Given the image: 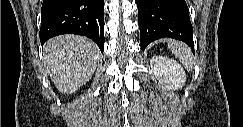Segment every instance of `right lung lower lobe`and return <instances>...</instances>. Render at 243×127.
<instances>
[{
    "label": "right lung lower lobe",
    "mask_w": 243,
    "mask_h": 127,
    "mask_svg": "<svg viewBox=\"0 0 243 127\" xmlns=\"http://www.w3.org/2000/svg\"><path fill=\"white\" fill-rule=\"evenodd\" d=\"M104 0H44L40 41L61 34L84 35L104 51Z\"/></svg>",
    "instance_id": "obj_1"
}]
</instances>
